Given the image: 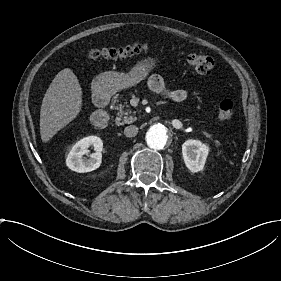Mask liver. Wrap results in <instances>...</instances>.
<instances>
[{"label": "liver", "mask_w": 281, "mask_h": 281, "mask_svg": "<svg viewBox=\"0 0 281 281\" xmlns=\"http://www.w3.org/2000/svg\"><path fill=\"white\" fill-rule=\"evenodd\" d=\"M83 89L70 68L60 71L44 95L40 113V135L48 143L80 115Z\"/></svg>", "instance_id": "liver-1"}]
</instances>
